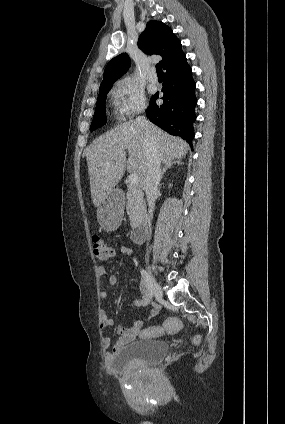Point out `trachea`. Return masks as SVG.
Masks as SVG:
<instances>
[{"label":"trachea","mask_w":285,"mask_h":424,"mask_svg":"<svg viewBox=\"0 0 285 424\" xmlns=\"http://www.w3.org/2000/svg\"><path fill=\"white\" fill-rule=\"evenodd\" d=\"M156 71H157V74H158V75H159V74H163L161 64H157V65H156Z\"/></svg>","instance_id":"trachea-1"}]
</instances>
